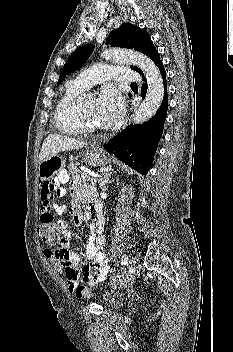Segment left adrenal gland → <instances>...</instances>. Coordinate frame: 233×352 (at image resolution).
I'll use <instances>...</instances> for the list:
<instances>
[{
    "mask_svg": "<svg viewBox=\"0 0 233 352\" xmlns=\"http://www.w3.org/2000/svg\"><path fill=\"white\" fill-rule=\"evenodd\" d=\"M111 174L112 172L110 173L107 172L99 179L98 183L100 188L104 187L107 183L113 181V180H110Z\"/></svg>",
    "mask_w": 233,
    "mask_h": 352,
    "instance_id": "obj_1",
    "label": "left adrenal gland"
}]
</instances>
